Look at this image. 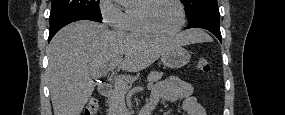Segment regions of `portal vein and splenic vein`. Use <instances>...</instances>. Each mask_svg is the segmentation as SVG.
<instances>
[{"label":"portal vein and splenic vein","mask_w":285,"mask_h":115,"mask_svg":"<svg viewBox=\"0 0 285 115\" xmlns=\"http://www.w3.org/2000/svg\"><path fill=\"white\" fill-rule=\"evenodd\" d=\"M119 65H120V62H117L116 64L109 66V70L114 71V69ZM114 80H115L116 84H119V85H125L126 84V82L120 78L115 77ZM151 86H152V84H148L147 87L150 88Z\"/></svg>","instance_id":"18ae733b"}]
</instances>
